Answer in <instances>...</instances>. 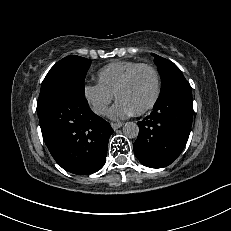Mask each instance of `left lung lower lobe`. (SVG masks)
I'll use <instances>...</instances> for the list:
<instances>
[{
  "label": "left lung lower lobe",
  "mask_w": 231,
  "mask_h": 231,
  "mask_svg": "<svg viewBox=\"0 0 231 231\" xmlns=\"http://www.w3.org/2000/svg\"><path fill=\"white\" fill-rule=\"evenodd\" d=\"M192 116V91L186 79L161 90L151 114L138 122L139 135L134 143L138 160L151 168L170 165L187 143Z\"/></svg>",
  "instance_id": "1"
}]
</instances>
